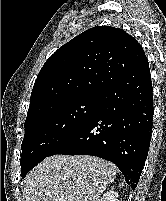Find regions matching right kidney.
<instances>
[{
	"mask_svg": "<svg viewBox=\"0 0 166 201\" xmlns=\"http://www.w3.org/2000/svg\"><path fill=\"white\" fill-rule=\"evenodd\" d=\"M97 201H119L118 193L114 190H109L102 195Z\"/></svg>",
	"mask_w": 166,
	"mask_h": 201,
	"instance_id": "1",
	"label": "right kidney"
}]
</instances>
